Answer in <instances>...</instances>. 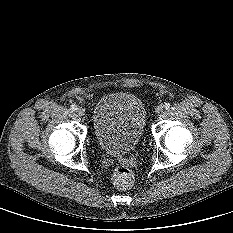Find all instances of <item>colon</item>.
Masks as SVG:
<instances>
[{
    "mask_svg": "<svg viewBox=\"0 0 233 233\" xmlns=\"http://www.w3.org/2000/svg\"><path fill=\"white\" fill-rule=\"evenodd\" d=\"M112 179L116 187L119 189H128L134 182L132 171L124 166L115 169Z\"/></svg>",
    "mask_w": 233,
    "mask_h": 233,
    "instance_id": "5ec220e1",
    "label": "colon"
}]
</instances>
